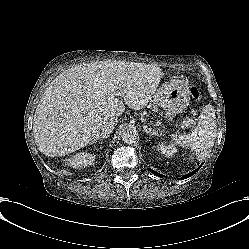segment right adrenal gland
<instances>
[{"mask_svg":"<svg viewBox=\"0 0 249 249\" xmlns=\"http://www.w3.org/2000/svg\"><path fill=\"white\" fill-rule=\"evenodd\" d=\"M108 137V135H99L94 141H93V143L94 142H97V140L100 142L101 140H103V139H105V138H107Z\"/></svg>","mask_w":249,"mask_h":249,"instance_id":"2a0ac1e0","label":"right adrenal gland"}]
</instances>
